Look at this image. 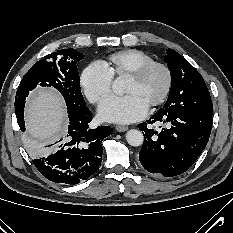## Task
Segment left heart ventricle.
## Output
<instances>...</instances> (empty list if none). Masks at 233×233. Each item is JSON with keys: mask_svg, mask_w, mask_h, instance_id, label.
Returning <instances> with one entry per match:
<instances>
[{"mask_svg": "<svg viewBox=\"0 0 233 233\" xmlns=\"http://www.w3.org/2000/svg\"><path fill=\"white\" fill-rule=\"evenodd\" d=\"M165 85V76L161 69L150 70L142 79L134 81L126 78L124 93L134 94L148 106L161 94Z\"/></svg>", "mask_w": 233, "mask_h": 233, "instance_id": "obj_1", "label": "left heart ventricle"}]
</instances>
